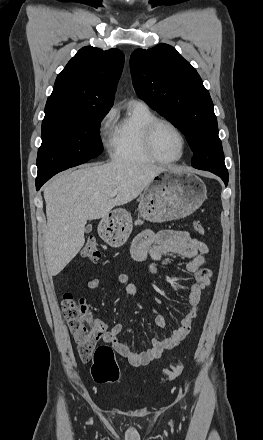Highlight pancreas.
Returning <instances> with one entry per match:
<instances>
[{"label": "pancreas", "instance_id": "1", "mask_svg": "<svg viewBox=\"0 0 263 440\" xmlns=\"http://www.w3.org/2000/svg\"><path fill=\"white\" fill-rule=\"evenodd\" d=\"M142 223H143V221L140 220V219H138V220L136 221V224H138V225H140V224H142Z\"/></svg>", "mask_w": 263, "mask_h": 440}]
</instances>
